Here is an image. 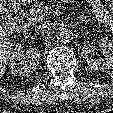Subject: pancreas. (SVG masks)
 <instances>
[{"instance_id": "cf45deb5", "label": "pancreas", "mask_w": 113, "mask_h": 113, "mask_svg": "<svg viewBox=\"0 0 113 113\" xmlns=\"http://www.w3.org/2000/svg\"><path fill=\"white\" fill-rule=\"evenodd\" d=\"M49 7L43 2H36L28 12L32 23H40L49 18Z\"/></svg>"}]
</instances>
